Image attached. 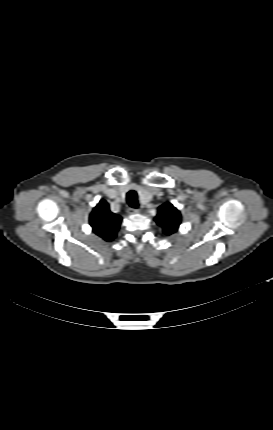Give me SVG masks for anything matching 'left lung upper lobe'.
<instances>
[{"label": "left lung upper lobe", "instance_id": "1", "mask_svg": "<svg viewBox=\"0 0 273 430\" xmlns=\"http://www.w3.org/2000/svg\"><path fill=\"white\" fill-rule=\"evenodd\" d=\"M155 221L162 227L165 234L170 235L177 231L181 223V215L172 204L167 202L158 208Z\"/></svg>", "mask_w": 273, "mask_h": 430}]
</instances>
